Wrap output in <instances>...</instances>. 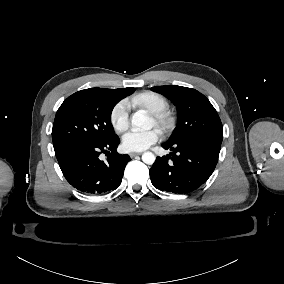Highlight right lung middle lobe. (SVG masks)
Segmentation results:
<instances>
[{
	"label": "right lung middle lobe",
	"mask_w": 284,
	"mask_h": 284,
	"mask_svg": "<svg viewBox=\"0 0 284 284\" xmlns=\"http://www.w3.org/2000/svg\"><path fill=\"white\" fill-rule=\"evenodd\" d=\"M119 101L103 88H90L69 96L59 107L52 129L54 150L79 142H105L114 138L110 122Z\"/></svg>",
	"instance_id": "dd1d6c3e"
}]
</instances>
